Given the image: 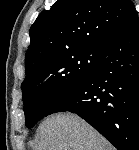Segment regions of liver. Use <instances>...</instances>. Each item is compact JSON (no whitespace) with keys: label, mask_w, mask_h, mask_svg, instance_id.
Returning a JSON list of instances; mask_svg holds the SVG:
<instances>
[{"label":"liver","mask_w":139,"mask_h":150,"mask_svg":"<svg viewBox=\"0 0 139 150\" xmlns=\"http://www.w3.org/2000/svg\"><path fill=\"white\" fill-rule=\"evenodd\" d=\"M35 150H113L83 119L71 113L46 118L38 128Z\"/></svg>","instance_id":"liver-1"}]
</instances>
